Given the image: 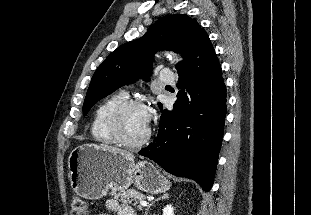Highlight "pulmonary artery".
I'll list each match as a JSON object with an SVG mask.
<instances>
[{"mask_svg": "<svg viewBox=\"0 0 311 215\" xmlns=\"http://www.w3.org/2000/svg\"><path fill=\"white\" fill-rule=\"evenodd\" d=\"M160 81L163 83H173L174 82V75L169 70H162L160 73ZM123 93L126 94L125 91Z\"/></svg>", "mask_w": 311, "mask_h": 215, "instance_id": "e3ab8cb5", "label": "pulmonary artery"}]
</instances>
